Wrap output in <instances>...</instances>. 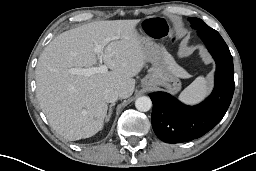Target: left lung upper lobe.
Here are the masks:
<instances>
[{
	"mask_svg": "<svg viewBox=\"0 0 256 171\" xmlns=\"http://www.w3.org/2000/svg\"><path fill=\"white\" fill-rule=\"evenodd\" d=\"M188 20L191 22L192 27L195 28V29L204 28V29H209V30H212V31H216V30L210 28L209 26H207V25H206L201 19H199V18H189Z\"/></svg>",
	"mask_w": 256,
	"mask_h": 171,
	"instance_id": "obj_1",
	"label": "left lung upper lobe"
}]
</instances>
